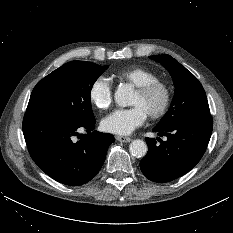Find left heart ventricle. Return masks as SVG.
I'll return each instance as SVG.
<instances>
[{"label":"left heart ventricle","instance_id":"left-heart-ventricle-1","mask_svg":"<svg viewBox=\"0 0 233 233\" xmlns=\"http://www.w3.org/2000/svg\"><path fill=\"white\" fill-rule=\"evenodd\" d=\"M163 97L164 95L161 90H156L148 96H142L135 91L131 97L130 105L141 107L149 115L160 108Z\"/></svg>","mask_w":233,"mask_h":233}]
</instances>
